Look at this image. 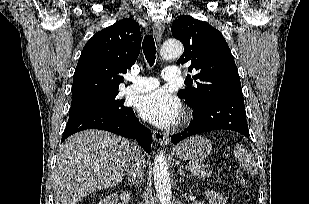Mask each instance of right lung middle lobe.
I'll return each mask as SVG.
<instances>
[{
  "label": "right lung middle lobe",
  "instance_id": "dd1d6c3e",
  "mask_svg": "<svg viewBox=\"0 0 309 204\" xmlns=\"http://www.w3.org/2000/svg\"><path fill=\"white\" fill-rule=\"evenodd\" d=\"M117 95L118 92H115L79 103L71 104L69 114L73 115L83 112L99 111L122 116L127 113L130 108L123 106V100L117 99Z\"/></svg>",
  "mask_w": 309,
  "mask_h": 204
}]
</instances>
